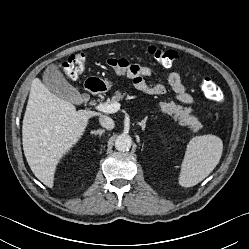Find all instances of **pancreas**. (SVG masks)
Listing matches in <instances>:
<instances>
[{"label":"pancreas","mask_w":249,"mask_h":249,"mask_svg":"<svg viewBox=\"0 0 249 249\" xmlns=\"http://www.w3.org/2000/svg\"><path fill=\"white\" fill-rule=\"evenodd\" d=\"M122 99V93L117 91L111 100L106 102V104H112ZM159 107L161 111L171 115L174 120L178 121L181 126H187L195 132L202 128V124L199 122L198 118L191 114V108H183L182 106L176 105L174 102H160Z\"/></svg>","instance_id":"pancreas-1"}]
</instances>
